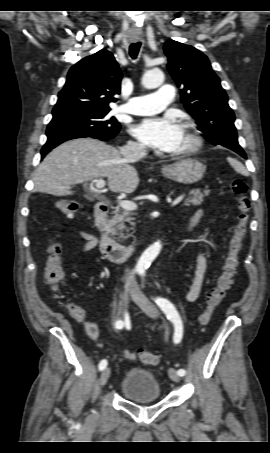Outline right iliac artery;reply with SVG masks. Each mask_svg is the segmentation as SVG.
I'll return each instance as SVG.
<instances>
[{
	"mask_svg": "<svg viewBox=\"0 0 270 453\" xmlns=\"http://www.w3.org/2000/svg\"><path fill=\"white\" fill-rule=\"evenodd\" d=\"M123 326H124V324H123V321H122V320H117V321L115 322V327H116L117 329H122ZM106 366H107V360H106V359L101 360V362L99 363V370L105 369Z\"/></svg>",
	"mask_w": 270,
	"mask_h": 453,
	"instance_id": "1",
	"label": "right iliac artery"
}]
</instances>
